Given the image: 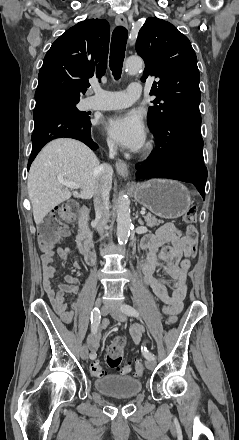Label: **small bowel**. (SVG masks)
Returning <instances> with one entry per match:
<instances>
[{
    "label": "small bowel",
    "instance_id": "c3829d8e",
    "mask_svg": "<svg viewBox=\"0 0 239 440\" xmlns=\"http://www.w3.org/2000/svg\"><path fill=\"white\" fill-rule=\"evenodd\" d=\"M141 247L145 252L142 261L145 284L151 287L154 294L165 304L163 311L166 314H178L182 310L186 296L187 273L190 268V259L195 254L196 244H193L181 229L172 223H167L162 225L155 234L146 235ZM71 253L72 250L69 247H59L54 244L41 248L44 290L65 323H70L73 318V310L68 309L65 294H76L80 281L76 277L66 275L65 283L59 284L55 289L52 282L56 276L53 261L55 255L66 260ZM74 267L78 270L82 268L78 260L74 261ZM160 271H163L167 278L158 276ZM74 307L75 304H73ZM106 325L105 320L102 327ZM142 333V326L138 324L132 326L131 336L135 343L140 342ZM99 340L100 331L92 332L88 338L89 348L97 350Z\"/></svg>",
    "mask_w": 239,
    "mask_h": 440
}]
</instances>
